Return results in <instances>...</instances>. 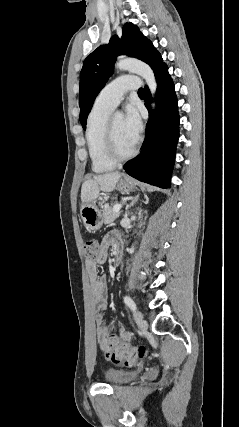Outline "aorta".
<instances>
[{"label":"aorta","instance_id":"762f6f07","mask_svg":"<svg viewBox=\"0 0 239 427\" xmlns=\"http://www.w3.org/2000/svg\"><path fill=\"white\" fill-rule=\"evenodd\" d=\"M116 67L120 70H126L141 76L146 81L154 97L157 89V82L154 72L149 65L137 59H121L116 63ZM152 107H155L154 102H152Z\"/></svg>","mask_w":239,"mask_h":427}]
</instances>
